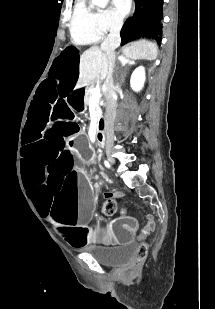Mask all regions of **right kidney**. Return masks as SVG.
I'll use <instances>...</instances> for the list:
<instances>
[{"label":"right kidney","mask_w":215,"mask_h":309,"mask_svg":"<svg viewBox=\"0 0 215 309\" xmlns=\"http://www.w3.org/2000/svg\"><path fill=\"white\" fill-rule=\"evenodd\" d=\"M145 82V68L144 66H138L131 74L130 86L133 90H141Z\"/></svg>","instance_id":"obj_1"}]
</instances>
